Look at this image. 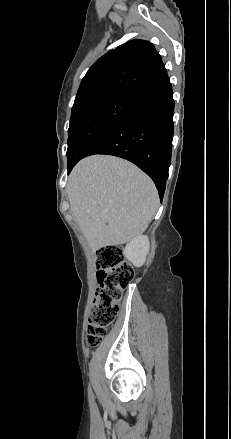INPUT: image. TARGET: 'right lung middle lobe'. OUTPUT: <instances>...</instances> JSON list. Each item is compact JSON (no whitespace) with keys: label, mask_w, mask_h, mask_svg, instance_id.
<instances>
[{"label":"right lung middle lobe","mask_w":231,"mask_h":439,"mask_svg":"<svg viewBox=\"0 0 231 439\" xmlns=\"http://www.w3.org/2000/svg\"><path fill=\"white\" fill-rule=\"evenodd\" d=\"M140 107L133 93L100 96L72 108L67 158L75 161L84 147L101 131L128 116L137 114Z\"/></svg>","instance_id":"1"}]
</instances>
